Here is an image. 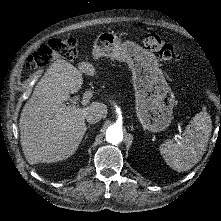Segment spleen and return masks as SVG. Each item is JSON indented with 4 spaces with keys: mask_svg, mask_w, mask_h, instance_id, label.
<instances>
[{
    "mask_svg": "<svg viewBox=\"0 0 221 221\" xmlns=\"http://www.w3.org/2000/svg\"><path fill=\"white\" fill-rule=\"evenodd\" d=\"M211 131V117L203 107L186 126L181 137L167 139L161 144L160 153L167 165L177 172L194 167L206 151Z\"/></svg>",
    "mask_w": 221,
    "mask_h": 221,
    "instance_id": "3e777b00",
    "label": "spleen"
}]
</instances>
